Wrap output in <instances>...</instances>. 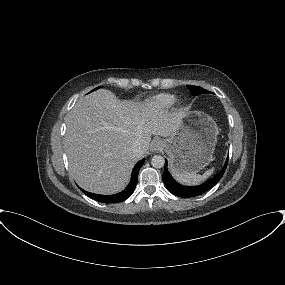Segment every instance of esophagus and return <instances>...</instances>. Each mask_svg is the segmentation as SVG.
<instances>
[{
  "label": "esophagus",
  "mask_w": 285,
  "mask_h": 285,
  "mask_svg": "<svg viewBox=\"0 0 285 285\" xmlns=\"http://www.w3.org/2000/svg\"><path fill=\"white\" fill-rule=\"evenodd\" d=\"M163 149V142L159 139H155L152 141L151 144V151L152 152H159Z\"/></svg>",
  "instance_id": "obj_1"
}]
</instances>
